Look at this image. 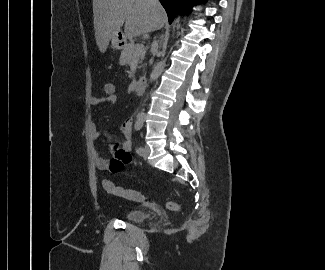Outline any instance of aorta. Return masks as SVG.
<instances>
[{"instance_id": "aorta-1", "label": "aorta", "mask_w": 325, "mask_h": 270, "mask_svg": "<svg viewBox=\"0 0 325 270\" xmlns=\"http://www.w3.org/2000/svg\"><path fill=\"white\" fill-rule=\"evenodd\" d=\"M164 66H165L164 62H159L155 66L154 70L152 71V73L150 75V80L151 81H155L161 75V73L163 72ZM140 116L143 117L144 113H141Z\"/></svg>"}]
</instances>
